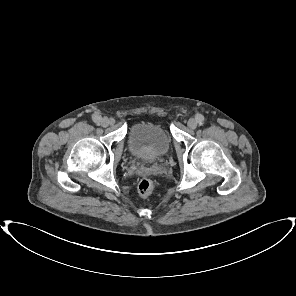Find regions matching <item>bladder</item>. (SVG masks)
<instances>
[{"label": "bladder", "instance_id": "1", "mask_svg": "<svg viewBox=\"0 0 296 296\" xmlns=\"http://www.w3.org/2000/svg\"><path fill=\"white\" fill-rule=\"evenodd\" d=\"M127 147L137 158L154 160L170 151L171 136L160 124L139 122L128 132Z\"/></svg>", "mask_w": 296, "mask_h": 296}]
</instances>
